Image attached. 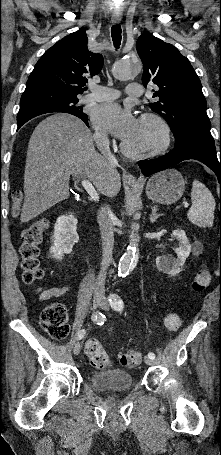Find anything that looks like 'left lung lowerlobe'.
Returning <instances> with one entry per match:
<instances>
[{"label": "left lung lower lobe", "mask_w": 221, "mask_h": 455, "mask_svg": "<svg viewBox=\"0 0 221 455\" xmlns=\"http://www.w3.org/2000/svg\"><path fill=\"white\" fill-rule=\"evenodd\" d=\"M188 159H195L207 165L215 172L221 185V159L218 160L215 141L208 134L189 133L175 142L174 149L169 153L156 159L139 161L138 164L143 174L150 176Z\"/></svg>", "instance_id": "obj_1"}]
</instances>
